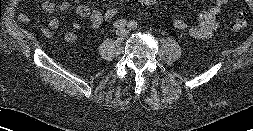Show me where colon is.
Returning <instances> with one entry per match:
<instances>
[{
    "instance_id": "5ec220e1",
    "label": "colon",
    "mask_w": 253,
    "mask_h": 131,
    "mask_svg": "<svg viewBox=\"0 0 253 131\" xmlns=\"http://www.w3.org/2000/svg\"><path fill=\"white\" fill-rule=\"evenodd\" d=\"M134 2L143 6H153L157 4L158 0H134ZM122 11V7L119 4H115L108 7L103 11V18L105 22H113L116 20ZM234 30H242L247 27V13L245 11H240L232 25Z\"/></svg>"
}]
</instances>
